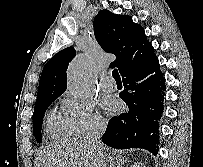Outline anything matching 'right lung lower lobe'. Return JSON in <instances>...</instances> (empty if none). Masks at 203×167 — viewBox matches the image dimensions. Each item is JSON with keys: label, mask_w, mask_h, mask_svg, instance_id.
I'll return each instance as SVG.
<instances>
[{"label": "right lung lower lobe", "mask_w": 203, "mask_h": 167, "mask_svg": "<svg viewBox=\"0 0 203 167\" xmlns=\"http://www.w3.org/2000/svg\"><path fill=\"white\" fill-rule=\"evenodd\" d=\"M122 80L124 90L119 96L128 112L110 119L102 142L116 149L144 148L155 154L166 90L158 58L124 74Z\"/></svg>", "instance_id": "right-lung-lower-lobe-1"}]
</instances>
